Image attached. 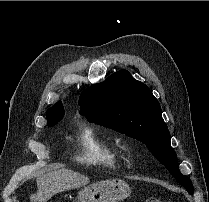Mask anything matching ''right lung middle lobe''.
I'll use <instances>...</instances> for the list:
<instances>
[{
    "label": "right lung middle lobe",
    "instance_id": "dd1d6c3e",
    "mask_svg": "<svg viewBox=\"0 0 209 202\" xmlns=\"http://www.w3.org/2000/svg\"><path fill=\"white\" fill-rule=\"evenodd\" d=\"M64 115H65V112L63 108L47 113V118L51 119L54 122L50 126L57 124L60 120H62Z\"/></svg>",
    "mask_w": 209,
    "mask_h": 202
}]
</instances>
